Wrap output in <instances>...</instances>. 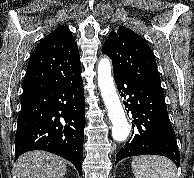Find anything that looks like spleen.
<instances>
[{"label": "spleen", "instance_id": "obj_1", "mask_svg": "<svg viewBox=\"0 0 194 178\" xmlns=\"http://www.w3.org/2000/svg\"><path fill=\"white\" fill-rule=\"evenodd\" d=\"M135 178H177L175 164L165 157L143 155L132 160Z\"/></svg>", "mask_w": 194, "mask_h": 178}]
</instances>
